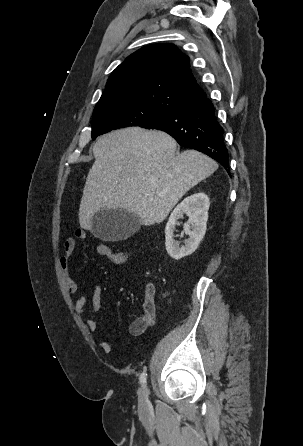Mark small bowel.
Segmentation results:
<instances>
[{"label": "small bowel", "mask_w": 303, "mask_h": 446, "mask_svg": "<svg viewBox=\"0 0 303 446\" xmlns=\"http://www.w3.org/2000/svg\"><path fill=\"white\" fill-rule=\"evenodd\" d=\"M86 236L85 230L78 229L75 232V238L69 237L63 244L64 255L60 259V267L65 286L68 292L72 294L78 291V285L70 276V260L76 249V239H85ZM100 248L101 243L96 245V251L99 252ZM154 294L155 291L153 287L148 286L145 291V299L141 307L140 315L129 325V333L132 336H139L143 334L154 324L156 318ZM101 296V287L100 285L96 284L92 291L90 306H87V295L82 293L75 302V311L79 314H88L97 311L101 306ZM86 324L90 331L96 332L98 330V324L95 320L90 319L86 322ZM99 346L105 353H110L113 348L109 341H102Z\"/></svg>", "instance_id": "1"}]
</instances>
